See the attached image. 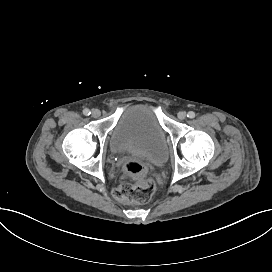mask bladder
<instances>
[{"label":"bladder","instance_id":"bladder-1","mask_svg":"<svg viewBox=\"0 0 272 272\" xmlns=\"http://www.w3.org/2000/svg\"><path fill=\"white\" fill-rule=\"evenodd\" d=\"M165 136L156 107L127 106L110 132L108 149L115 157L133 152L147 163L162 164L168 157Z\"/></svg>","mask_w":272,"mask_h":272}]
</instances>
